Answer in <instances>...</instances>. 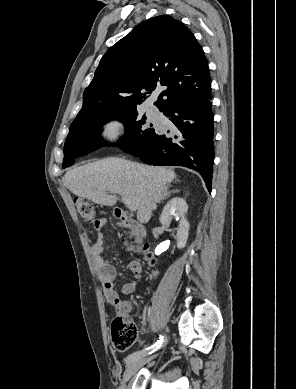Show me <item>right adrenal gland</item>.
<instances>
[{"label":"right adrenal gland","instance_id":"2a0ac1e0","mask_svg":"<svg viewBox=\"0 0 296 389\" xmlns=\"http://www.w3.org/2000/svg\"><path fill=\"white\" fill-rule=\"evenodd\" d=\"M175 191L173 190V191H170L167 195H165V197L162 199V200H164V199H167L169 196H170V194L171 193H174Z\"/></svg>","mask_w":296,"mask_h":389}]
</instances>
